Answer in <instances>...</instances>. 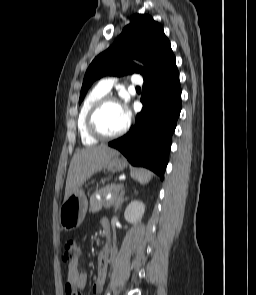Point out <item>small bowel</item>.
I'll use <instances>...</instances> for the list:
<instances>
[{
  "mask_svg": "<svg viewBox=\"0 0 256 295\" xmlns=\"http://www.w3.org/2000/svg\"><path fill=\"white\" fill-rule=\"evenodd\" d=\"M104 230L108 228L106 221L102 222ZM110 256V248L107 246L101 250L97 261V277L92 285V291L94 295H98L102 292L104 284L106 282L108 262ZM87 283V274L80 270L79 260L76 259L70 262L66 271V295H81L82 290Z\"/></svg>",
  "mask_w": 256,
  "mask_h": 295,
  "instance_id": "small-bowel-1",
  "label": "small bowel"
}]
</instances>
